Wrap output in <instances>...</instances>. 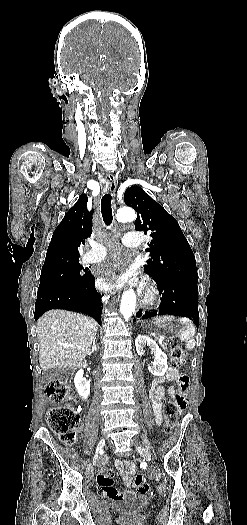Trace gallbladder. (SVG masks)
Wrapping results in <instances>:
<instances>
[{"instance_id":"obj_1","label":"gallbladder","mask_w":247,"mask_h":525,"mask_svg":"<svg viewBox=\"0 0 247 525\" xmlns=\"http://www.w3.org/2000/svg\"><path fill=\"white\" fill-rule=\"evenodd\" d=\"M70 372V369L68 367L58 368V371L54 367H51L49 369V372L47 373V377L50 380L56 379L57 375H60V373L68 374Z\"/></svg>"}]
</instances>
